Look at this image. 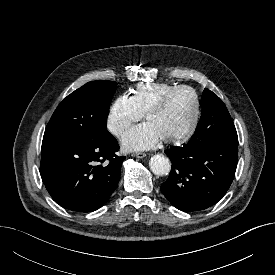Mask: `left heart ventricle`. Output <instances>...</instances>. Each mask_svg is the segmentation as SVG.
Listing matches in <instances>:
<instances>
[{"label":"left heart ventricle","instance_id":"b2bd125f","mask_svg":"<svg viewBox=\"0 0 275 275\" xmlns=\"http://www.w3.org/2000/svg\"><path fill=\"white\" fill-rule=\"evenodd\" d=\"M195 109L194 96L188 90H181L168 99L159 112L147 119L162 139L178 136L190 126Z\"/></svg>","mask_w":275,"mask_h":275}]
</instances>
